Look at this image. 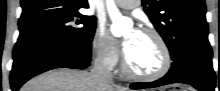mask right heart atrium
<instances>
[{"instance_id":"d8ad5b80","label":"right heart atrium","mask_w":220,"mask_h":91,"mask_svg":"<svg viewBox=\"0 0 220 91\" xmlns=\"http://www.w3.org/2000/svg\"><path fill=\"white\" fill-rule=\"evenodd\" d=\"M90 48L97 61L106 68L117 65L120 50L117 41L102 26H98L91 38Z\"/></svg>"}]
</instances>
